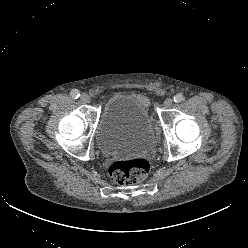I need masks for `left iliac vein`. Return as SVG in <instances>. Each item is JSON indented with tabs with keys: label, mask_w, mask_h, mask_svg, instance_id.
I'll return each instance as SVG.
<instances>
[{
	"label": "left iliac vein",
	"mask_w": 248,
	"mask_h": 248,
	"mask_svg": "<svg viewBox=\"0 0 248 248\" xmlns=\"http://www.w3.org/2000/svg\"><path fill=\"white\" fill-rule=\"evenodd\" d=\"M172 104H173V100L171 98H167L163 103L165 108H170Z\"/></svg>",
	"instance_id": "4c4485c4"
}]
</instances>
